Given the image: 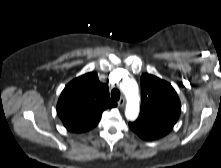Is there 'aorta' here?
Segmentation results:
<instances>
[{"label": "aorta", "mask_w": 221, "mask_h": 168, "mask_svg": "<svg viewBox=\"0 0 221 168\" xmlns=\"http://www.w3.org/2000/svg\"><path fill=\"white\" fill-rule=\"evenodd\" d=\"M122 89L127 100L125 116L128 120L133 121L139 114L140 97L138 93V85L136 81L129 79Z\"/></svg>", "instance_id": "obj_1"}]
</instances>
